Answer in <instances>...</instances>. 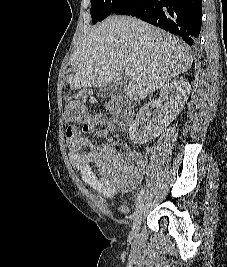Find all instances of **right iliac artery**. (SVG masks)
I'll use <instances>...</instances> for the list:
<instances>
[{"instance_id": "82829eb1", "label": "right iliac artery", "mask_w": 227, "mask_h": 267, "mask_svg": "<svg viewBox=\"0 0 227 267\" xmlns=\"http://www.w3.org/2000/svg\"><path fill=\"white\" fill-rule=\"evenodd\" d=\"M143 194H144V188H142V189L140 190V192H139V194H138V196H137V199H136V201H135L136 206L140 203Z\"/></svg>"}]
</instances>
